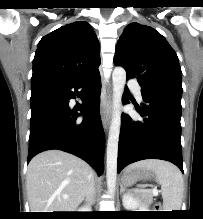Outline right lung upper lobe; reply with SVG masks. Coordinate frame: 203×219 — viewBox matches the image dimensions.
Here are the masks:
<instances>
[{
    "mask_svg": "<svg viewBox=\"0 0 203 219\" xmlns=\"http://www.w3.org/2000/svg\"><path fill=\"white\" fill-rule=\"evenodd\" d=\"M99 42L84 21L66 24L44 36L35 52L31 83L88 77L98 72Z\"/></svg>",
    "mask_w": 203,
    "mask_h": 219,
    "instance_id": "cb5924a9",
    "label": "right lung upper lobe"
}]
</instances>
